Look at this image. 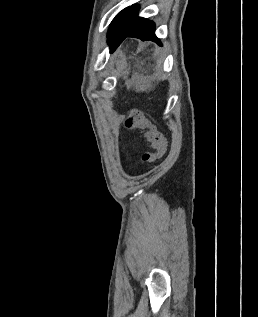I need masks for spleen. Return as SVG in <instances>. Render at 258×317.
<instances>
[{"label":"spleen","mask_w":258,"mask_h":317,"mask_svg":"<svg viewBox=\"0 0 258 317\" xmlns=\"http://www.w3.org/2000/svg\"><path fill=\"white\" fill-rule=\"evenodd\" d=\"M148 84H146V80H141V82H137L136 88L137 90H146Z\"/></svg>","instance_id":"1"}]
</instances>
